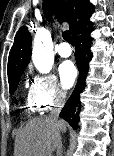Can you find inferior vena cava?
<instances>
[{
	"mask_svg": "<svg viewBox=\"0 0 114 156\" xmlns=\"http://www.w3.org/2000/svg\"><path fill=\"white\" fill-rule=\"evenodd\" d=\"M65 100H66V95L65 93L59 91L56 94V98L54 101V107L50 112L49 117L55 121H58L59 118V114L61 112V109L63 108L64 104H65Z\"/></svg>",
	"mask_w": 114,
	"mask_h": 156,
	"instance_id": "602c4592",
	"label": "inferior vena cava"
}]
</instances>
